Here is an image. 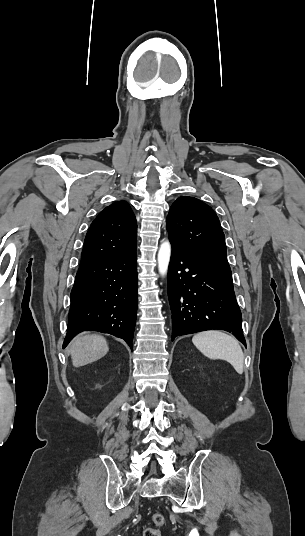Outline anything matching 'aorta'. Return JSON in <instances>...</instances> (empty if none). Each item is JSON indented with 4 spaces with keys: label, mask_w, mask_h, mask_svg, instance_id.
Segmentation results:
<instances>
[{
    "label": "aorta",
    "mask_w": 305,
    "mask_h": 536,
    "mask_svg": "<svg viewBox=\"0 0 305 536\" xmlns=\"http://www.w3.org/2000/svg\"><path fill=\"white\" fill-rule=\"evenodd\" d=\"M171 256V244L169 241H164L160 245L157 261H158V270L162 276H165L168 271V266Z\"/></svg>",
    "instance_id": "1"
}]
</instances>
